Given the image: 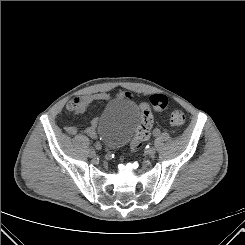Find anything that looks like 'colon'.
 Masks as SVG:
<instances>
[{
  "instance_id": "5ec220e1",
  "label": "colon",
  "mask_w": 245,
  "mask_h": 245,
  "mask_svg": "<svg viewBox=\"0 0 245 245\" xmlns=\"http://www.w3.org/2000/svg\"><path fill=\"white\" fill-rule=\"evenodd\" d=\"M168 104V99L165 95L162 94H154L150 97V105L153 107L154 110L161 112L165 110ZM70 110H76L77 104L71 103L69 105ZM185 114L182 110L177 109L174 110L170 117L169 122L173 126H180L185 122ZM153 126V116L151 113L150 106L144 104L141 108V118L140 123L136 129V133L134 139L131 143V150L134 154L139 153L145 141L150 138L151 129Z\"/></svg>"
}]
</instances>
